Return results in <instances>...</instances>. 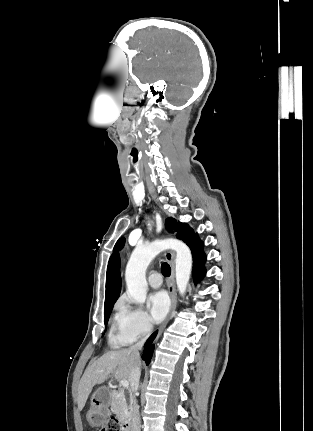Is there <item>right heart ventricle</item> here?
Here are the masks:
<instances>
[{"label": "right heart ventricle", "instance_id": "1", "mask_svg": "<svg viewBox=\"0 0 313 431\" xmlns=\"http://www.w3.org/2000/svg\"><path fill=\"white\" fill-rule=\"evenodd\" d=\"M120 318H121V311L118 307L117 312L114 316L113 321V330L110 334V343L113 346H123L130 344L134 341V338H132L121 326L120 324Z\"/></svg>", "mask_w": 313, "mask_h": 431}]
</instances>
